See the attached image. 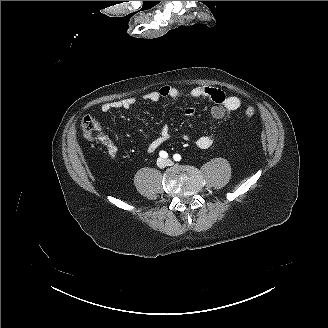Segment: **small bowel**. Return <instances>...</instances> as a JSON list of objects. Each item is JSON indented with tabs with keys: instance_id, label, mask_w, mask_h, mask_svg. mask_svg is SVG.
Wrapping results in <instances>:
<instances>
[{
	"instance_id": "obj_1",
	"label": "small bowel",
	"mask_w": 328,
	"mask_h": 328,
	"mask_svg": "<svg viewBox=\"0 0 328 328\" xmlns=\"http://www.w3.org/2000/svg\"><path fill=\"white\" fill-rule=\"evenodd\" d=\"M162 98H169L172 100H182L185 98L199 99L206 98L213 102L211 108V115L216 120H225L231 116L232 113L237 111L241 107V100L237 96H227L223 91L212 87H195L190 90H182L180 88L165 85L158 90L151 91L143 95L140 99L136 97H127L119 100L103 103L101 105V111L108 113L111 110L116 109H129L135 105L139 100L156 102ZM195 110L193 107H187L184 110L185 117H191ZM171 136L169 127L162 126L159 130V135L152 140L146 148L148 153H152L157 150L167 139ZM182 139L185 142L191 140V136L188 133L182 134ZM102 143L105 145L107 153L111 159H116L118 156L117 146L103 136L101 138ZM213 144V139L209 135H202L196 139V145L200 149H208Z\"/></svg>"
}]
</instances>
